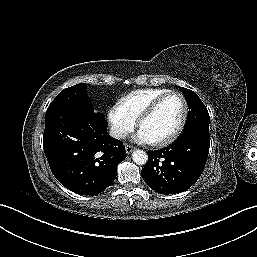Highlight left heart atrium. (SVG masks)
<instances>
[{
  "instance_id": "1",
  "label": "left heart atrium",
  "mask_w": 257,
  "mask_h": 257,
  "mask_svg": "<svg viewBox=\"0 0 257 257\" xmlns=\"http://www.w3.org/2000/svg\"><path fill=\"white\" fill-rule=\"evenodd\" d=\"M135 140L140 143H151V140L141 130L135 135Z\"/></svg>"
}]
</instances>
